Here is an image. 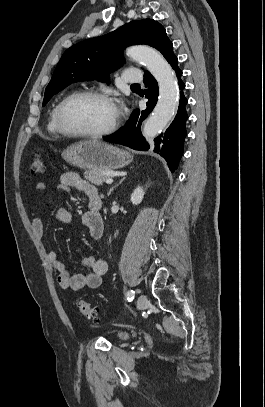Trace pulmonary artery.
Returning a JSON list of instances; mask_svg holds the SVG:
<instances>
[{
  "mask_svg": "<svg viewBox=\"0 0 265 407\" xmlns=\"http://www.w3.org/2000/svg\"><path fill=\"white\" fill-rule=\"evenodd\" d=\"M125 83L138 84L143 80L141 72L135 68H128L123 74Z\"/></svg>",
  "mask_w": 265,
  "mask_h": 407,
  "instance_id": "obj_1",
  "label": "pulmonary artery"
}]
</instances>
